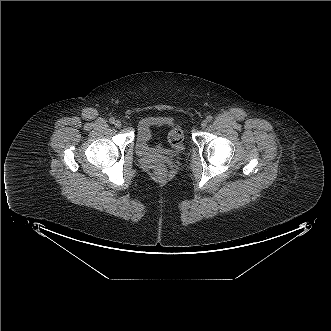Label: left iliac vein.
I'll return each mask as SVG.
<instances>
[{
  "label": "left iliac vein",
  "instance_id": "left-iliac-vein-1",
  "mask_svg": "<svg viewBox=\"0 0 331 331\" xmlns=\"http://www.w3.org/2000/svg\"><path fill=\"white\" fill-rule=\"evenodd\" d=\"M207 124H208V122H207L206 120H203V121L201 122V127H202V128H205V127L207 126Z\"/></svg>",
  "mask_w": 331,
  "mask_h": 331
}]
</instances>
